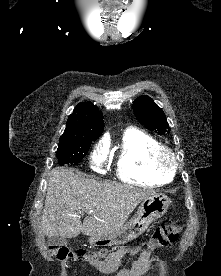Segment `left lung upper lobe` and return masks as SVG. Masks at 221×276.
I'll return each mask as SVG.
<instances>
[{
	"instance_id": "1",
	"label": "left lung upper lobe",
	"mask_w": 221,
	"mask_h": 276,
	"mask_svg": "<svg viewBox=\"0 0 221 276\" xmlns=\"http://www.w3.org/2000/svg\"><path fill=\"white\" fill-rule=\"evenodd\" d=\"M133 111L138 121L151 131L164 134L169 128L163 110L146 95L133 102Z\"/></svg>"
}]
</instances>
